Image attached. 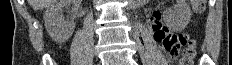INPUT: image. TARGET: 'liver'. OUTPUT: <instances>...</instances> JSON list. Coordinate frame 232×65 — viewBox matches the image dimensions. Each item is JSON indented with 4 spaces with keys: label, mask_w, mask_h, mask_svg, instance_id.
<instances>
[{
    "label": "liver",
    "mask_w": 232,
    "mask_h": 65,
    "mask_svg": "<svg viewBox=\"0 0 232 65\" xmlns=\"http://www.w3.org/2000/svg\"><path fill=\"white\" fill-rule=\"evenodd\" d=\"M55 0H28L29 4L34 10H41L49 7L54 3Z\"/></svg>",
    "instance_id": "liver-1"
}]
</instances>
